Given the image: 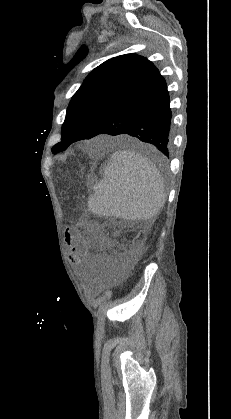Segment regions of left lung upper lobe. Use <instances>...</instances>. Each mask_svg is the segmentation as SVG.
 <instances>
[{"label":"left lung upper lobe","mask_w":231,"mask_h":419,"mask_svg":"<svg viewBox=\"0 0 231 419\" xmlns=\"http://www.w3.org/2000/svg\"><path fill=\"white\" fill-rule=\"evenodd\" d=\"M155 69L151 61L136 54L111 58L95 68L73 95L62 125V141L53 146L52 152L86 139Z\"/></svg>","instance_id":"left-lung-upper-lobe-1"}]
</instances>
